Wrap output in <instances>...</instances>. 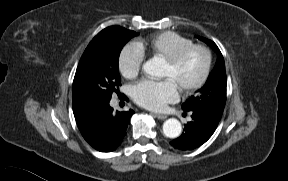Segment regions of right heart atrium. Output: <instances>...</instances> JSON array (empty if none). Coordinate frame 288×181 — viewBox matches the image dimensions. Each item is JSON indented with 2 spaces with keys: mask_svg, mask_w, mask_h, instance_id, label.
<instances>
[{
  "mask_svg": "<svg viewBox=\"0 0 288 181\" xmlns=\"http://www.w3.org/2000/svg\"><path fill=\"white\" fill-rule=\"evenodd\" d=\"M144 54L136 44L126 45L118 56V69L126 79L135 78L141 71Z\"/></svg>",
  "mask_w": 288,
  "mask_h": 181,
  "instance_id": "right-heart-atrium-1",
  "label": "right heart atrium"
}]
</instances>
